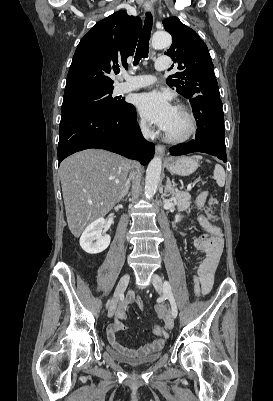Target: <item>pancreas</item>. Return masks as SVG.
I'll return each instance as SVG.
<instances>
[{
  "mask_svg": "<svg viewBox=\"0 0 273 401\" xmlns=\"http://www.w3.org/2000/svg\"><path fill=\"white\" fill-rule=\"evenodd\" d=\"M173 198H175L178 211H186V209H188L191 198V194H189V192H184V190H179V192H176Z\"/></svg>",
  "mask_w": 273,
  "mask_h": 401,
  "instance_id": "1",
  "label": "pancreas"
}]
</instances>
